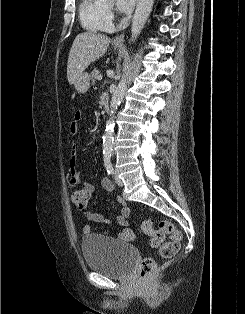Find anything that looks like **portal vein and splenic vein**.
<instances>
[{
  "instance_id": "obj_1",
  "label": "portal vein and splenic vein",
  "mask_w": 245,
  "mask_h": 314,
  "mask_svg": "<svg viewBox=\"0 0 245 314\" xmlns=\"http://www.w3.org/2000/svg\"><path fill=\"white\" fill-rule=\"evenodd\" d=\"M97 79L102 80V75H99Z\"/></svg>"
}]
</instances>
